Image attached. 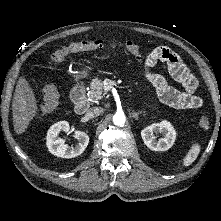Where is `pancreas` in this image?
Segmentation results:
<instances>
[{"instance_id":"pancreas-1","label":"pancreas","mask_w":221,"mask_h":221,"mask_svg":"<svg viewBox=\"0 0 221 221\" xmlns=\"http://www.w3.org/2000/svg\"><path fill=\"white\" fill-rule=\"evenodd\" d=\"M103 94V82L98 78L92 80L90 84V90L88 91V99L90 101L99 100L102 98Z\"/></svg>"}]
</instances>
